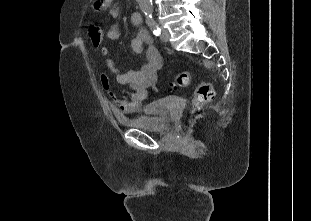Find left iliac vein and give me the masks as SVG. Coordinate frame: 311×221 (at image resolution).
<instances>
[{
    "mask_svg": "<svg viewBox=\"0 0 311 221\" xmlns=\"http://www.w3.org/2000/svg\"><path fill=\"white\" fill-rule=\"evenodd\" d=\"M161 40L163 42H168L169 41V38H170V34H169V31L165 28H162L161 29V36H160Z\"/></svg>",
    "mask_w": 311,
    "mask_h": 221,
    "instance_id": "left-iliac-vein-1",
    "label": "left iliac vein"
}]
</instances>
